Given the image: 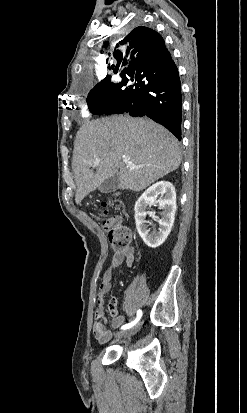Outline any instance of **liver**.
<instances>
[{"label":"liver","instance_id":"obj_1","mask_svg":"<svg viewBox=\"0 0 247 413\" xmlns=\"http://www.w3.org/2000/svg\"><path fill=\"white\" fill-rule=\"evenodd\" d=\"M124 158L129 160L127 164ZM95 160H99L96 172L91 168ZM180 162L177 138L146 116L112 114L96 120L84 118L75 136L72 158L75 202L81 204L86 194L115 172L119 174L120 188L143 190L176 170Z\"/></svg>","mask_w":247,"mask_h":413}]
</instances>
